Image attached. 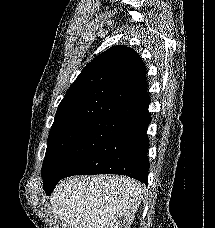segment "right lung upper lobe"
Segmentation results:
<instances>
[{"label": "right lung upper lobe", "mask_w": 215, "mask_h": 228, "mask_svg": "<svg viewBox=\"0 0 215 228\" xmlns=\"http://www.w3.org/2000/svg\"><path fill=\"white\" fill-rule=\"evenodd\" d=\"M149 104L142 59L117 45L81 71L59 104L50 133L96 118L134 123L149 115Z\"/></svg>", "instance_id": "1"}]
</instances>
